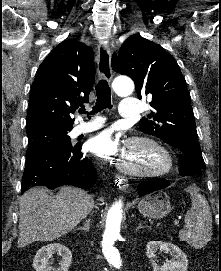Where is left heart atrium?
<instances>
[{
  "mask_svg": "<svg viewBox=\"0 0 221 271\" xmlns=\"http://www.w3.org/2000/svg\"><path fill=\"white\" fill-rule=\"evenodd\" d=\"M89 150L92 153L103 155V157H120L125 153L122 142H118L115 131L108 129L94 135L88 143Z\"/></svg>",
  "mask_w": 221,
  "mask_h": 271,
  "instance_id": "1",
  "label": "left heart atrium"
}]
</instances>
